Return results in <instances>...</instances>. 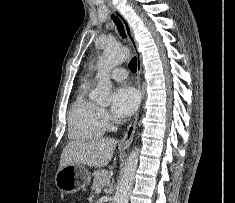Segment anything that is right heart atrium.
I'll list each match as a JSON object with an SVG mask.
<instances>
[{
  "mask_svg": "<svg viewBox=\"0 0 235 203\" xmlns=\"http://www.w3.org/2000/svg\"><path fill=\"white\" fill-rule=\"evenodd\" d=\"M100 118L106 128H110L112 126V118L105 109H100Z\"/></svg>",
  "mask_w": 235,
  "mask_h": 203,
  "instance_id": "obj_1",
  "label": "right heart atrium"
}]
</instances>
